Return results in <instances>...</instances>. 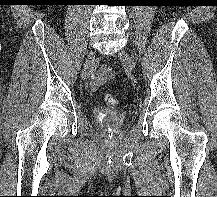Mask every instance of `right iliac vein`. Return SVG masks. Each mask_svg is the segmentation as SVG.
<instances>
[{
    "instance_id": "63e3f726",
    "label": "right iliac vein",
    "mask_w": 217,
    "mask_h": 197,
    "mask_svg": "<svg viewBox=\"0 0 217 197\" xmlns=\"http://www.w3.org/2000/svg\"><path fill=\"white\" fill-rule=\"evenodd\" d=\"M95 65V52L91 50L86 58L83 70L82 79L85 80L93 71Z\"/></svg>"
}]
</instances>
